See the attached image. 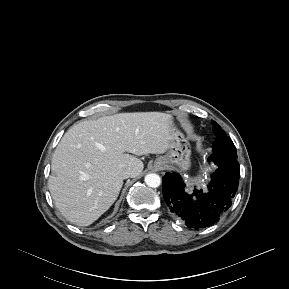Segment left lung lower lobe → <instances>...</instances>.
I'll list each match as a JSON object with an SVG mask.
<instances>
[{
    "mask_svg": "<svg viewBox=\"0 0 289 289\" xmlns=\"http://www.w3.org/2000/svg\"><path fill=\"white\" fill-rule=\"evenodd\" d=\"M237 157L218 158L211 155L218 168L211 175L208 191L194 189L187 193L182 178L177 173L163 177V197L170 211L194 229L209 227L230 208L238 190L240 165Z\"/></svg>",
    "mask_w": 289,
    "mask_h": 289,
    "instance_id": "0a47b994",
    "label": "left lung lower lobe"
}]
</instances>
